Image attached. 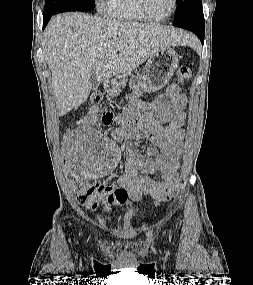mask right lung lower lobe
<instances>
[{"mask_svg": "<svg viewBox=\"0 0 253 285\" xmlns=\"http://www.w3.org/2000/svg\"><path fill=\"white\" fill-rule=\"evenodd\" d=\"M54 14H44L43 15V29L45 28V26L47 25V23L49 22L50 18L53 16Z\"/></svg>", "mask_w": 253, "mask_h": 285, "instance_id": "98d812e1", "label": "right lung lower lobe"}]
</instances>
